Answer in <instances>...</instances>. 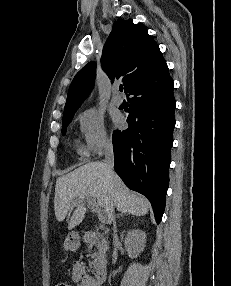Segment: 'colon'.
Segmentation results:
<instances>
[{
  "label": "colon",
  "instance_id": "obj_1",
  "mask_svg": "<svg viewBox=\"0 0 231 286\" xmlns=\"http://www.w3.org/2000/svg\"><path fill=\"white\" fill-rule=\"evenodd\" d=\"M56 286H71V285H70V284H68V283L63 282V283H59V284H57Z\"/></svg>",
  "mask_w": 231,
  "mask_h": 286
}]
</instances>
